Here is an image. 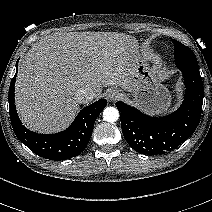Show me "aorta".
Wrapping results in <instances>:
<instances>
[{
    "mask_svg": "<svg viewBox=\"0 0 212 212\" xmlns=\"http://www.w3.org/2000/svg\"><path fill=\"white\" fill-rule=\"evenodd\" d=\"M103 118L105 121L113 123L119 119V111L115 107H106L103 110Z\"/></svg>",
    "mask_w": 212,
    "mask_h": 212,
    "instance_id": "762f6f07",
    "label": "aorta"
}]
</instances>
